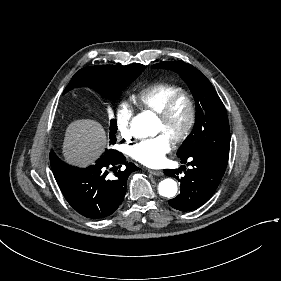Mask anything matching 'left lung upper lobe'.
<instances>
[{
    "instance_id": "left-lung-upper-lobe-1",
    "label": "left lung upper lobe",
    "mask_w": 281,
    "mask_h": 281,
    "mask_svg": "<svg viewBox=\"0 0 281 281\" xmlns=\"http://www.w3.org/2000/svg\"><path fill=\"white\" fill-rule=\"evenodd\" d=\"M153 68L176 71L188 84L196 101V122L177 152L178 157L203 153L228 162L230 130L224 104L210 81L195 67L182 61L161 62Z\"/></svg>"
}]
</instances>
